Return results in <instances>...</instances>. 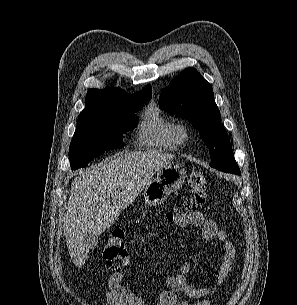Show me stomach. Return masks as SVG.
Segmentation results:
<instances>
[{
  "instance_id": "1",
  "label": "stomach",
  "mask_w": 297,
  "mask_h": 305,
  "mask_svg": "<svg viewBox=\"0 0 297 305\" xmlns=\"http://www.w3.org/2000/svg\"><path fill=\"white\" fill-rule=\"evenodd\" d=\"M186 177V170L177 162H169L156 172L145 186L144 199L146 204L157 206L168 196L182 187Z\"/></svg>"
}]
</instances>
